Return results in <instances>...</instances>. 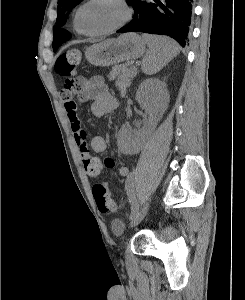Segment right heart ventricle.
Returning <instances> with one entry per match:
<instances>
[{
    "label": "right heart ventricle",
    "mask_w": 245,
    "mask_h": 300,
    "mask_svg": "<svg viewBox=\"0 0 245 300\" xmlns=\"http://www.w3.org/2000/svg\"><path fill=\"white\" fill-rule=\"evenodd\" d=\"M74 28L76 31L80 32L81 30L79 29L77 23H76V19L74 18V22H73Z\"/></svg>",
    "instance_id": "1"
}]
</instances>
